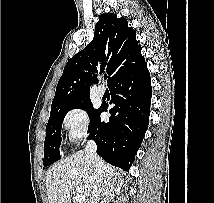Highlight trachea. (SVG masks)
Returning a JSON list of instances; mask_svg holds the SVG:
<instances>
[{
	"label": "trachea",
	"instance_id": "obj_1",
	"mask_svg": "<svg viewBox=\"0 0 214 203\" xmlns=\"http://www.w3.org/2000/svg\"><path fill=\"white\" fill-rule=\"evenodd\" d=\"M104 79H107V75H104Z\"/></svg>",
	"mask_w": 214,
	"mask_h": 203
}]
</instances>
